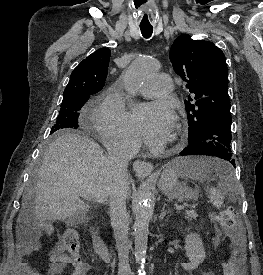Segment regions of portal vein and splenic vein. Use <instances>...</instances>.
I'll return each mask as SVG.
<instances>
[{
  "instance_id": "1",
  "label": "portal vein and splenic vein",
  "mask_w": 263,
  "mask_h": 275,
  "mask_svg": "<svg viewBox=\"0 0 263 275\" xmlns=\"http://www.w3.org/2000/svg\"><path fill=\"white\" fill-rule=\"evenodd\" d=\"M82 196H83V198L86 199V200H91V199H90L87 195H85V194H83ZM184 208H185V206H177V207H176L177 210H182V209H184Z\"/></svg>"
}]
</instances>
